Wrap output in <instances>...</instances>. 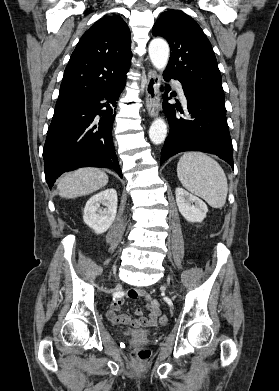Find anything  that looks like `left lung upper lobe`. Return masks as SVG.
I'll return each mask as SVG.
<instances>
[{"instance_id": "obj_1", "label": "left lung upper lobe", "mask_w": 279, "mask_h": 391, "mask_svg": "<svg viewBox=\"0 0 279 391\" xmlns=\"http://www.w3.org/2000/svg\"><path fill=\"white\" fill-rule=\"evenodd\" d=\"M152 34L164 37L170 45L165 76L177 79L183 87L225 106L215 54L196 21L182 11L169 10L156 21Z\"/></svg>"}]
</instances>
